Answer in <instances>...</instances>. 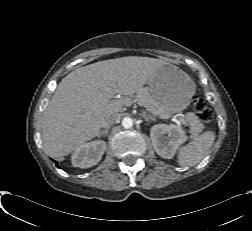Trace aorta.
Wrapping results in <instances>:
<instances>
[{
    "instance_id": "aorta-1",
    "label": "aorta",
    "mask_w": 252,
    "mask_h": 231,
    "mask_svg": "<svg viewBox=\"0 0 252 231\" xmlns=\"http://www.w3.org/2000/svg\"><path fill=\"white\" fill-rule=\"evenodd\" d=\"M122 126L126 129L131 128L133 126V120L130 117L123 118Z\"/></svg>"
}]
</instances>
